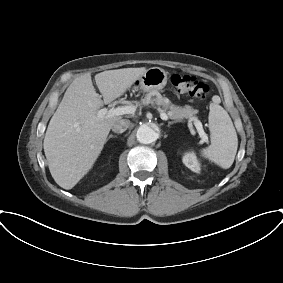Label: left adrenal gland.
<instances>
[{
  "label": "left adrenal gland",
  "instance_id": "a2214340",
  "mask_svg": "<svg viewBox=\"0 0 283 283\" xmlns=\"http://www.w3.org/2000/svg\"><path fill=\"white\" fill-rule=\"evenodd\" d=\"M178 121H170V122H168V127H170V125H172V124H174V123H177Z\"/></svg>",
  "mask_w": 283,
  "mask_h": 283
}]
</instances>
